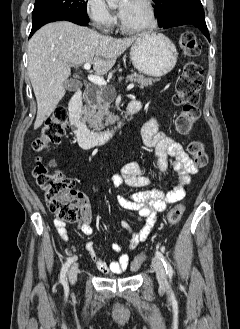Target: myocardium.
<instances>
[{"mask_svg":"<svg viewBox=\"0 0 240 329\" xmlns=\"http://www.w3.org/2000/svg\"><path fill=\"white\" fill-rule=\"evenodd\" d=\"M142 2L146 5L148 14H149V22L146 25L140 27H129L127 26L123 20L120 18L119 20V28L129 34H140L153 30L158 23L157 12L153 0H142Z\"/></svg>","mask_w":240,"mask_h":329,"instance_id":"1","label":"myocardium"}]
</instances>
